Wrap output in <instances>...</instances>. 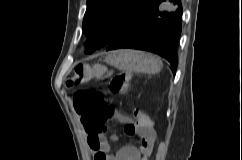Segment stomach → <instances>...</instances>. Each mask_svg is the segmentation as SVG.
Returning <instances> with one entry per match:
<instances>
[{"label": "stomach", "instance_id": "stomach-1", "mask_svg": "<svg viewBox=\"0 0 242 160\" xmlns=\"http://www.w3.org/2000/svg\"><path fill=\"white\" fill-rule=\"evenodd\" d=\"M105 61L123 72L155 73L160 70V63L156 57L138 50L112 51Z\"/></svg>", "mask_w": 242, "mask_h": 160}]
</instances>
